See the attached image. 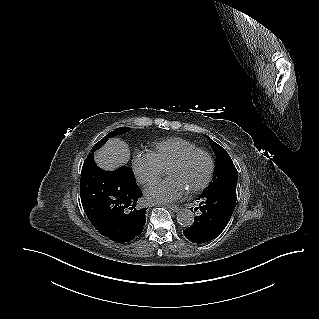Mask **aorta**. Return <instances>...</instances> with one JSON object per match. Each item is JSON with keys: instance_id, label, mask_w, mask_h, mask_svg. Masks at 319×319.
<instances>
[{"instance_id": "1", "label": "aorta", "mask_w": 319, "mask_h": 319, "mask_svg": "<svg viewBox=\"0 0 319 319\" xmlns=\"http://www.w3.org/2000/svg\"><path fill=\"white\" fill-rule=\"evenodd\" d=\"M177 221L183 227H190L194 222V213L187 208L181 209L177 214Z\"/></svg>"}]
</instances>
